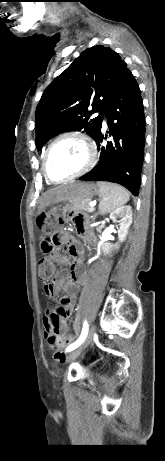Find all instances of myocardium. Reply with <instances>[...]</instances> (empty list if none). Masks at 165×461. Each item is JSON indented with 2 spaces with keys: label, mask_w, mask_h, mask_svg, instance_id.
Returning <instances> with one entry per match:
<instances>
[{
  "label": "myocardium",
  "mask_w": 165,
  "mask_h": 461,
  "mask_svg": "<svg viewBox=\"0 0 165 461\" xmlns=\"http://www.w3.org/2000/svg\"><path fill=\"white\" fill-rule=\"evenodd\" d=\"M69 138L79 140L82 143V145L84 146V148L86 150V154H87L86 163L84 164V166L81 169H79L74 174H72V175H70L68 177L59 179V180H55V179L50 177V175H49V173L47 171V167H46L47 157H48L51 149L54 147V145H56L58 142H60V141H62L64 139H69ZM95 162H96V148H95L94 143L91 141V139L84 133L77 132V131H69V132H64V133L58 135L47 146V148L44 151L43 158H42V170H43V174H44L45 178L49 182L59 184V183H63V182L73 180L75 178H78V177L84 175L85 173H87L89 170H91L93 168V166L95 165Z\"/></svg>",
  "instance_id": "f54148a6"
}]
</instances>
